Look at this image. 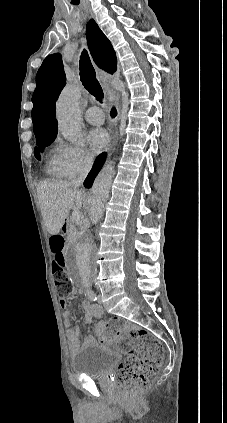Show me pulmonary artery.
I'll return each instance as SVG.
<instances>
[{
  "label": "pulmonary artery",
  "instance_id": "1",
  "mask_svg": "<svg viewBox=\"0 0 227 423\" xmlns=\"http://www.w3.org/2000/svg\"><path fill=\"white\" fill-rule=\"evenodd\" d=\"M85 120L93 126H101L105 123V114L98 107H91L85 112Z\"/></svg>",
  "mask_w": 227,
  "mask_h": 423
}]
</instances>
